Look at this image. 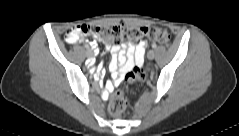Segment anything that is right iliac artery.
<instances>
[{
    "label": "right iliac artery",
    "mask_w": 239,
    "mask_h": 136,
    "mask_svg": "<svg viewBox=\"0 0 239 136\" xmlns=\"http://www.w3.org/2000/svg\"><path fill=\"white\" fill-rule=\"evenodd\" d=\"M84 49L85 50H89V46H84Z\"/></svg>",
    "instance_id": "right-iliac-artery-1"
}]
</instances>
